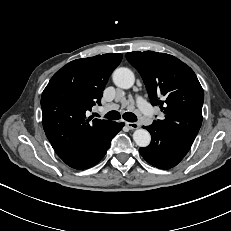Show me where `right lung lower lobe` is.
Segmentation results:
<instances>
[{"label": "right lung lower lobe", "mask_w": 231, "mask_h": 231, "mask_svg": "<svg viewBox=\"0 0 231 231\" xmlns=\"http://www.w3.org/2000/svg\"><path fill=\"white\" fill-rule=\"evenodd\" d=\"M123 126L124 123L114 122L108 135L104 139L94 144L87 152L85 157L78 164L74 165L72 168L82 170V169L90 168L95 164H97L104 157L107 150L109 149L112 138L122 129Z\"/></svg>", "instance_id": "98d812e1"}]
</instances>
